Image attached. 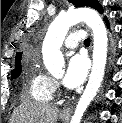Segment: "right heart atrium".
Wrapping results in <instances>:
<instances>
[{
  "instance_id": "obj_1",
  "label": "right heart atrium",
  "mask_w": 122,
  "mask_h": 123,
  "mask_svg": "<svg viewBox=\"0 0 122 123\" xmlns=\"http://www.w3.org/2000/svg\"><path fill=\"white\" fill-rule=\"evenodd\" d=\"M52 86H53L54 91L58 88V83L53 79H52Z\"/></svg>"
}]
</instances>
